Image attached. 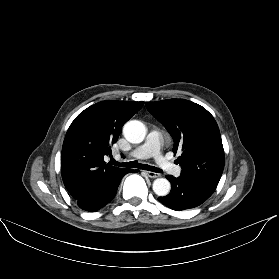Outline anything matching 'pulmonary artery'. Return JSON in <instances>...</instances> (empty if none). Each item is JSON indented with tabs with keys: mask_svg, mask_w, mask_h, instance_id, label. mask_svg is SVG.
Segmentation results:
<instances>
[{
	"mask_svg": "<svg viewBox=\"0 0 279 279\" xmlns=\"http://www.w3.org/2000/svg\"><path fill=\"white\" fill-rule=\"evenodd\" d=\"M160 141V132L152 130L149 132L145 143L134 149L129 155L136 158L154 157L164 170L170 174L178 176L180 174V168L163 157L161 154Z\"/></svg>",
	"mask_w": 279,
	"mask_h": 279,
	"instance_id": "pulmonary-artery-1",
	"label": "pulmonary artery"
}]
</instances>
